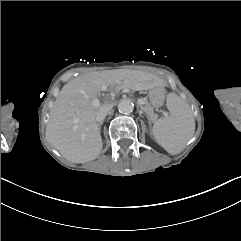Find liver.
<instances>
[{"label":"liver","mask_w":241,"mask_h":241,"mask_svg":"<svg viewBox=\"0 0 241 241\" xmlns=\"http://www.w3.org/2000/svg\"><path fill=\"white\" fill-rule=\"evenodd\" d=\"M138 71L105 70L87 73L68 81L61 89L50 112L46 139L63 157L73 163H86L97 158L103 142L96 121L101 110L112 108L105 102L96 105L100 91L129 88L141 91L155 87L149 75L136 76ZM147 84L142 87L141 84Z\"/></svg>","instance_id":"obj_1"}]
</instances>
